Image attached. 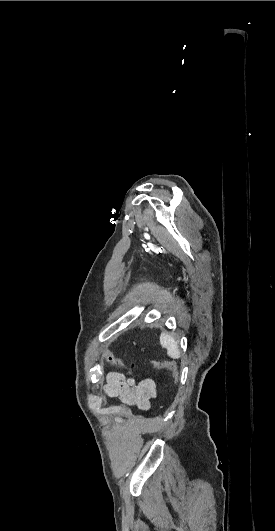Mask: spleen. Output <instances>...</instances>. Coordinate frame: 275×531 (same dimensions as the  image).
Returning a JSON list of instances; mask_svg holds the SVG:
<instances>
[{"label":"spleen","mask_w":275,"mask_h":531,"mask_svg":"<svg viewBox=\"0 0 275 531\" xmlns=\"http://www.w3.org/2000/svg\"><path fill=\"white\" fill-rule=\"evenodd\" d=\"M160 345L163 347V349H167L168 357H171V359H179L180 349L178 347V343L175 341L174 337L169 335V333H161Z\"/></svg>","instance_id":"3e777b00"}]
</instances>
